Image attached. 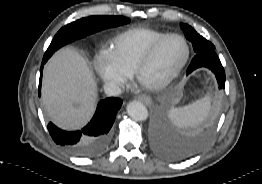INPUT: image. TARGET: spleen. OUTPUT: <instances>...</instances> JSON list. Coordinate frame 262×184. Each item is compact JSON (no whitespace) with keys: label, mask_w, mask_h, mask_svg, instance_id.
<instances>
[{"label":"spleen","mask_w":262,"mask_h":184,"mask_svg":"<svg viewBox=\"0 0 262 184\" xmlns=\"http://www.w3.org/2000/svg\"><path fill=\"white\" fill-rule=\"evenodd\" d=\"M210 103V98L204 97L187 106L170 109L169 117L177 126H194L208 115Z\"/></svg>","instance_id":"spleen-1"}]
</instances>
